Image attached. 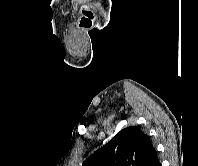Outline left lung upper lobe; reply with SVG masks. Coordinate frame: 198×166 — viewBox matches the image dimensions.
Masks as SVG:
<instances>
[{
  "label": "left lung upper lobe",
  "mask_w": 198,
  "mask_h": 166,
  "mask_svg": "<svg viewBox=\"0 0 198 166\" xmlns=\"http://www.w3.org/2000/svg\"><path fill=\"white\" fill-rule=\"evenodd\" d=\"M156 157L149 136L130 126L95 151L82 166H150Z\"/></svg>",
  "instance_id": "1"
}]
</instances>
